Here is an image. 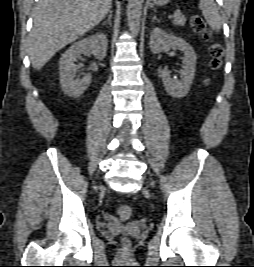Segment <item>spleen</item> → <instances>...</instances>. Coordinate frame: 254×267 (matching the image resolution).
I'll list each match as a JSON object with an SVG mask.
<instances>
[{
	"label": "spleen",
	"instance_id": "3e777b00",
	"mask_svg": "<svg viewBox=\"0 0 254 267\" xmlns=\"http://www.w3.org/2000/svg\"><path fill=\"white\" fill-rule=\"evenodd\" d=\"M199 9L202 11L208 25L215 31H218L222 25V19L214 0H200Z\"/></svg>",
	"mask_w": 254,
	"mask_h": 267
}]
</instances>
